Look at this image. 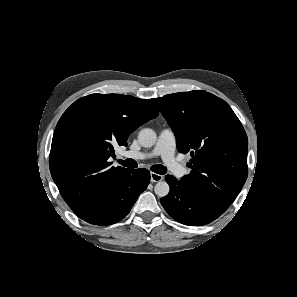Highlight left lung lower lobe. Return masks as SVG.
I'll list each match as a JSON object with an SVG mask.
<instances>
[{
    "label": "left lung lower lobe",
    "mask_w": 297,
    "mask_h": 297,
    "mask_svg": "<svg viewBox=\"0 0 297 297\" xmlns=\"http://www.w3.org/2000/svg\"><path fill=\"white\" fill-rule=\"evenodd\" d=\"M165 179L170 192L161 199V204L177 222L201 226L214 221L223 213L195 195L181 180L171 175H166Z\"/></svg>",
    "instance_id": "0a47b994"
}]
</instances>
